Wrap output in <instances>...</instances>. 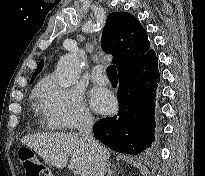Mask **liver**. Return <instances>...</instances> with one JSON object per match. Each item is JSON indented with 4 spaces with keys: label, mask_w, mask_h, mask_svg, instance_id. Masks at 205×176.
I'll return each mask as SVG.
<instances>
[{
    "label": "liver",
    "mask_w": 205,
    "mask_h": 176,
    "mask_svg": "<svg viewBox=\"0 0 205 176\" xmlns=\"http://www.w3.org/2000/svg\"><path fill=\"white\" fill-rule=\"evenodd\" d=\"M21 143L34 150L50 165L63 169L71 155L70 165L80 173L91 176L93 156L89 147L73 133H37L25 136ZM102 147V146H101ZM105 158L110 157V150L102 147Z\"/></svg>",
    "instance_id": "1"
}]
</instances>
